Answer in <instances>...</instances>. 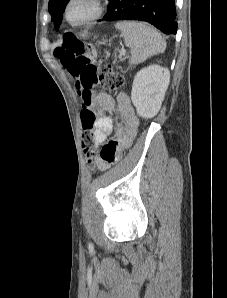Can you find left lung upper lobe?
I'll use <instances>...</instances> for the list:
<instances>
[{
	"label": "left lung upper lobe",
	"instance_id": "1",
	"mask_svg": "<svg viewBox=\"0 0 227 298\" xmlns=\"http://www.w3.org/2000/svg\"><path fill=\"white\" fill-rule=\"evenodd\" d=\"M69 0H50L48 4L51 20L54 21L55 29L58 30L62 15Z\"/></svg>",
	"mask_w": 227,
	"mask_h": 298
}]
</instances>
